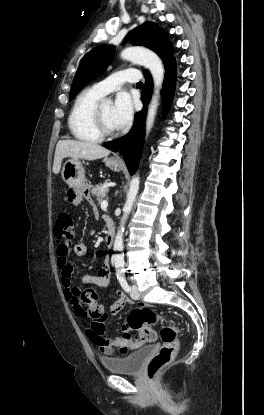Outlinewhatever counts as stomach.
Instances as JSON below:
<instances>
[{"label": "stomach", "instance_id": "0dacf381", "mask_svg": "<svg viewBox=\"0 0 264 415\" xmlns=\"http://www.w3.org/2000/svg\"><path fill=\"white\" fill-rule=\"evenodd\" d=\"M105 165L113 171H121L123 168L122 163H120L115 158H106ZM62 179L63 181L73 189L76 197L72 198L70 201L77 205L79 202V196L88 189L89 185L86 184L85 180V171L82 165V162L79 159H69L67 160L62 168Z\"/></svg>", "mask_w": 264, "mask_h": 415}]
</instances>
